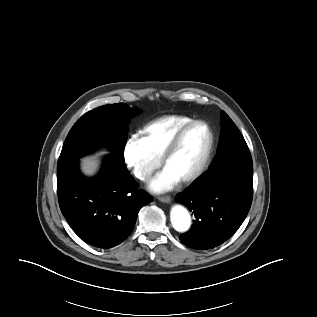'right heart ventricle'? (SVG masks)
Wrapping results in <instances>:
<instances>
[{"mask_svg": "<svg viewBox=\"0 0 317 317\" xmlns=\"http://www.w3.org/2000/svg\"><path fill=\"white\" fill-rule=\"evenodd\" d=\"M192 119L184 115H168L147 124L141 131L150 152L162 159L175 134Z\"/></svg>", "mask_w": 317, "mask_h": 317, "instance_id": "obj_1", "label": "right heart ventricle"}]
</instances>
